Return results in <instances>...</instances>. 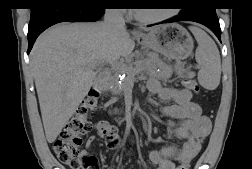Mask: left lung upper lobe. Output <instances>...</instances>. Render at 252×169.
I'll return each mask as SVG.
<instances>
[{
  "mask_svg": "<svg viewBox=\"0 0 252 169\" xmlns=\"http://www.w3.org/2000/svg\"><path fill=\"white\" fill-rule=\"evenodd\" d=\"M185 8H182L181 15L193 14L201 11H215L214 0H186Z\"/></svg>",
  "mask_w": 252,
  "mask_h": 169,
  "instance_id": "5c2ea615",
  "label": "left lung upper lobe"
}]
</instances>
